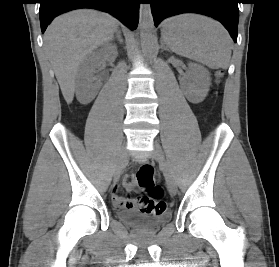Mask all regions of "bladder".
<instances>
[{"label": "bladder", "instance_id": "1", "mask_svg": "<svg viewBox=\"0 0 279 267\" xmlns=\"http://www.w3.org/2000/svg\"><path fill=\"white\" fill-rule=\"evenodd\" d=\"M119 219L125 224L140 230L154 231L170 220V214L148 216L134 210H123L118 213Z\"/></svg>", "mask_w": 279, "mask_h": 267}]
</instances>
